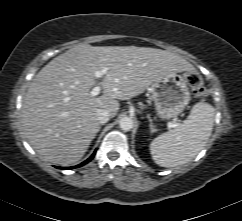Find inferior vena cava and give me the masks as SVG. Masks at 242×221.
I'll return each instance as SVG.
<instances>
[{
  "label": "inferior vena cava",
  "mask_w": 242,
  "mask_h": 221,
  "mask_svg": "<svg viewBox=\"0 0 242 221\" xmlns=\"http://www.w3.org/2000/svg\"><path fill=\"white\" fill-rule=\"evenodd\" d=\"M97 119L99 123L104 124L110 119V112L104 109H98L96 111Z\"/></svg>",
  "instance_id": "obj_1"
}]
</instances>
